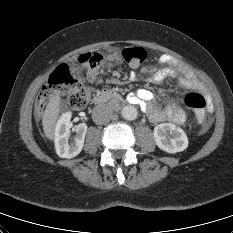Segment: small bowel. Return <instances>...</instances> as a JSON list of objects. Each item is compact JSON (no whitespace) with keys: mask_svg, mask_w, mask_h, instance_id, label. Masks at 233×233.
Wrapping results in <instances>:
<instances>
[{"mask_svg":"<svg viewBox=\"0 0 233 233\" xmlns=\"http://www.w3.org/2000/svg\"><path fill=\"white\" fill-rule=\"evenodd\" d=\"M142 72L148 75V81L150 82H158L165 78H174L184 88L193 89L202 93L205 92V88L198 78L170 55H161L157 60L156 66L145 67L142 69ZM129 78L135 80L137 73L132 71ZM152 99L153 94L147 89H139L128 97L130 103L140 106L153 121H169L179 125L186 121L187 114L181 108L179 102L174 101L165 107H158L152 104ZM211 111L212 105L208 103L207 112ZM208 126L209 122L206 121L202 129L204 130Z\"/></svg>","mask_w":233,"mask_h":233,"instance_id":"1","label":"small bowel"}]
</instances>
